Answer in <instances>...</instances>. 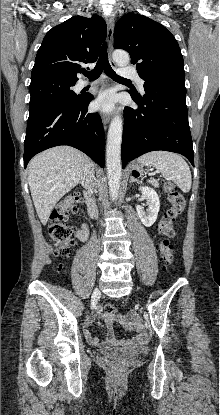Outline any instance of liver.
Here are the masks:
<instances>
[{
  "mask_svg": "<svg viewBox=\"0 0 220 415\" xmlns=\"http://www.w3.org/2000/svg\"><path fill=\"white\" fill-rule=\"evenodd\" d=\"M92 171L91 159L69 146L48 149L30 161L28 183L43 225H46L57 202Z\"/></svg>",
  "mask_w": 220,
  "mask_h": 415,
  "instance_id": "1",
  "label": "liver"
}]
</instances>
